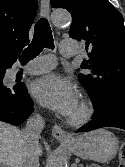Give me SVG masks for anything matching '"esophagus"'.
<instances>
[{
  "instance_id": "1",
  "label": "esophagus",
  "mask_w": 125,
  "mask_h": 167,
  "mask_svg": "<svg viewBox=\"0 0 125 167\" xmlns=\"http://www.w3.org/2000/svg\"><path fill=\"white\" fill-rule=\"evenodd\" d=\"M49 13H50V1L49 0H41L40 16L48 19L49 18ZM52 135L57 140H69V139L72 138L70 134L66 133L58 125L53 126Z\"/></svg>"
}]
</instances>
